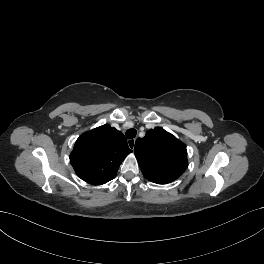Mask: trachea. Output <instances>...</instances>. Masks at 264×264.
Returning a JSON list of instances; mask_svg holds the SVG:
<instances>
[{
	"label": "trachea",
	"mask_w": 264,
	"mask_h": 264,
	"mask_svg": "<svg viewBox=\"0 0 264 264\" xmlns=\"http://www.w3.org/2000/svg\"><path fill=\"white\" fill-rule=\"evenodd\" d=\"M136 134H137V131H136L135 129H128V130L126 131V137H127L128 139H132V138H134V137L136 136Z\"/></svg>",
	"instance_id": "trachea-1"
}]
</instances>
